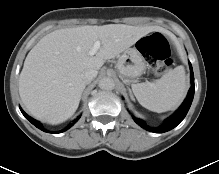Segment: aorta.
I'll use <instances>...</instances> for the list:
<instances>
[{
    "label": "aorta",
    "mask_w": 219,
    "mask_h": 174,
    "mask_svg": "<svg viewBox=\"0 0 219 174\" xmlns=\"http://www.w3.org/2000/svg\"><path fill=\"white\" fill-rule=\"evenodd\" d=\"M99 87L102 90H112L115 87V82L110 77H104L99 81Z\"/></svg>",
    "instance_id": "1"
}]
</instances>
